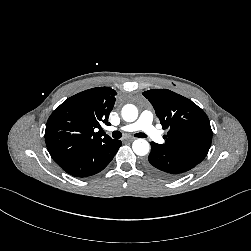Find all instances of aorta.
<instances>
[{
	"instance_id": "obj_1",
	"label": "aorta",
	"mask_w": 251,
	"mask_h": 251,
	"mask_svg": "<svg viewBox=\"0 0 251 251\" xmlns=\"http://www.w3.org/2000/svg\"><path fill=\"white\" fill-rule=\"evenodd\" d=\"M122 118L127 122H133L138 117V110L136 106L127 104L122 108ZM132 149L136 155L144 156L150 150V145L145 139H136L132 144Z\"/></svg>"
}]
</instances>
